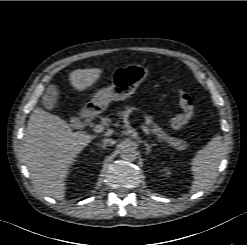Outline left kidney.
<instances>
[{"mask_svg":"<svg viewBox=\"0 0 247 245\" xmlns=\"http://www.w3.org/2000/svg\"><path fill=\"white\" fill-rule=\"evenodd\" d=\"M164 172H165V175H167V176L170 174V171H169L168 168H165V169H164Z\"/></svg>","mask_w":247,"mask_h":245,"instance_id":"left-kidney-1","label":"left kidney"}]
</instances>
